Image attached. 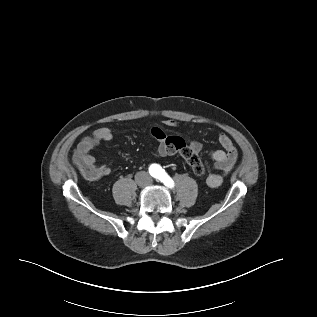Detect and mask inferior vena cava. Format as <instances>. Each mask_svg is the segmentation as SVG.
Listing matches in <instances>:
<instances>
[{"label": "inferior vena cava", "instance_id": "inferior-vena-cava-1", "mask_svg": "<svg viewBox=\"0 0 317 317\" xmlns=\"http://www.w3.org/2000/svg\"><path fill=\"white\" fill-rule=\"evenodd\" d=\"M135 181L140 185H147L151 181V177L145 171H140L135 175Z\"/></svg>", "mask_w": 317, "mask_h": 317}]
</instances>
